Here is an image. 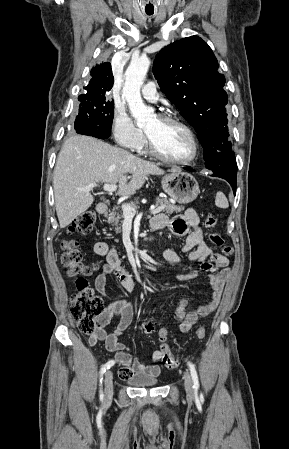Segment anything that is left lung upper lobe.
Here are the masks:
<instances>
[{
  "instance_id": "left-lung-upper-lobe-1",
  "label": "left lung upper lobe",
  "mask_w": 289,
  "mask_h": 449,
  "mask_svg": "<svg viewBox=\"0 0 289 449\" xmlns=\"http://www.w3.org/2000/svg\"><path fill=\"white\" fill-rule=\"evenodd\" d=\"M208 44L198 36L171 43L155 58L153 73L161 90L194 127L206 167L218 177L237 176L228 141L225 77Z\"/></svg>"
}]
</instances>
